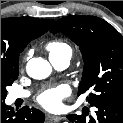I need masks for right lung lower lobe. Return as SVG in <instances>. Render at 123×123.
<instances>
[{"mask_svg":"<svg viewBox=\"0 0 123 123\" xmlns=\"http://www.w3.org/2000/svg\"><path fill=\"white\" fill-rule=\"evenodd\" d=\"M44 119V113L38 109L25 106L16 112L5 104V99L1 100V123H43Z\"/></svg>","mask_w":123,"mask_h":123,"instance_id":"98d812e1","label":"right lung lower lobe"}]
</instances>
